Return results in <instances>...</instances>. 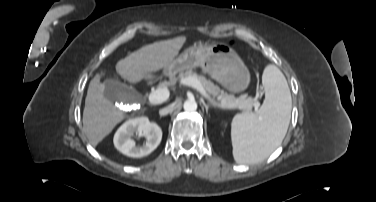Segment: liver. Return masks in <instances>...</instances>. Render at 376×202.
Segmentation results:
<instances>
[{"label":"liver","mask_w":376,"mask_h":202,"mask_svg":"<svg viewBox=\"0 0 376 202\" xmlns=\"http://www.w3.org/2000/svg\"><path fill=\"white\" fill-rule=\"evenodd\" d=\"M185 41V36H179L146 45L118 61L116 71L130 83H137L172 62ZM102 75L104 72L91 80L83 111L84 131L94 147L125 117L123 111L104 97L105 86L100 82Z\"/></svg>","instance_id":"liver-1"}]
</instances>
